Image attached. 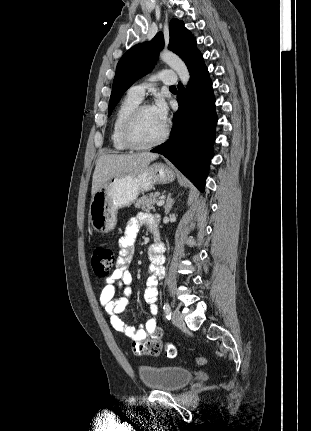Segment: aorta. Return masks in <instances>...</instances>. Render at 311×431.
Masks as SVG:
<instances>
[{"label": "aorta", "instance_id": "aorta-1", "mask_svg": "<svg viewBox=\"0 0 311 431\" xmlns=\"http://www.w3.org/2000/svg\"><path fill=\"white\" fill-rule=\"evenodd\" d=\"M160 58L162 62L168 64V66L178 74L183 86H187L190 80V74L187 70V66L180 60L179 56H176L173 52H169V50H163L160 54Z\"/></svg>", "mask_w": 311, "mask_h": 431}]
</instances>
